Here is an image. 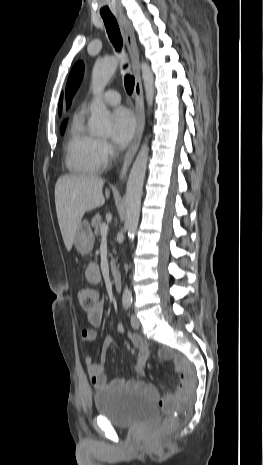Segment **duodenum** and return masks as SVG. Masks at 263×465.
I'll list each match as a JSON object with an SVG mask.
<instances>
[{
  "mask_svg": "<svg viewBox=\"0 0 263 465\" xmlns=\"http://www.w3.org/2000/svg\"><path fill=\"white\" fill-rule=\"evenodd\" d=\"M113 284L117 290L121 289V274L118 271L113 272Z\"/></svg>",
  "mask_w": 263,
  "mask_h": 465,
  "instance_id": "obj_1",
  "label": "duodenum"
}]
</instances>
